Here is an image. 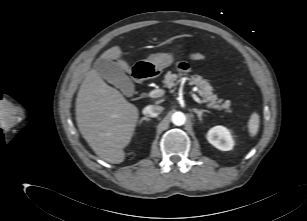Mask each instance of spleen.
Masks as SVG:
<instances>
[{"mask_svg":"<svg viewBox=\"0 0 307 221\" xmlns=\"http://www.w3.org/2000/svg\"><path fill=\"white\" fill-rule=\"evenodd\" d=\"M259 123V115L256 112L252 113L248 121V131L251 137H254L257 134L259 129Z\"/></svg>","mask_w":307,"mask_h":221,"instance_id":"spleen-1","label":"spleen"}]
</instances>
